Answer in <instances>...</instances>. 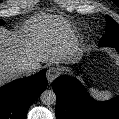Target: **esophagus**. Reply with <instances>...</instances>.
I'll use <instances>...</instances> for the list:
<instances>
[{"label": "esophagus", "mask_w": 119, "mask_h": 119, "mask_svg": "<svg viewBox=\"0 0 119 119\" xmlns=\"http://www.w3.org/2000/svg\"><path fill=\"white\" fill-rule=\"evenodd\" d=\"M60 74V70L56 66H52L47 70V80L49 83L53 82L55 78H57Z\"/></svg>", "instance_id": "34e87169"}]
</instances>
